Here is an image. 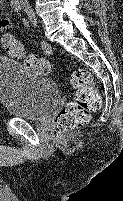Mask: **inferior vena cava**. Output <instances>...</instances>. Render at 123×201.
Wrapping results in <instances>:
<instances>
[{
  "instance_id": "1",
  "label": "inferior vena cava",
  "mask_w": 123,
  "mask_h": 201,
  "mask_svg": "<svg viewBox=\"0 0 123 201\" xmlns=\"http://www.w3.org/2000/svg\"><path fill=\"white\" fill-rule=\"evenodd\" d=\"M23 4H27V0H21Z\"/></svg>"
}]
</instances>
